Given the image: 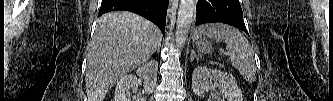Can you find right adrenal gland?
I'll return each instance as SVG.
<instances>
[{
	"instance_id": "1",
	"label": "right adrenal gland",
	"mask_w": 333,
	"mask_h": 101,
	"mask_svg": "<svg viewBox=\"0 0 333 101\" xmlns=\"http://www.w3.org/2000/svg\"><path fill=\"white\" fill-rule=\"evenodd\" d=\"M159 51H160V47L157 48V52H158V53H159Z\"/></svg>"
}]
</instances>
